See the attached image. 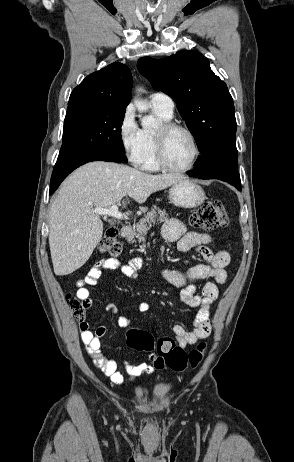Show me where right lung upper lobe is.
Returning <instances> with one entry per match:
<instances>
[{
	"label": "right lung upper lobe",
	"mask_w": 294,
	"mask_h": 462,
	"mask_svg": "<svg viewBox=\"0 0 294 462\" xmlns=\"http://www.w3.org/2000/svg\"><path fill=\"white\" fill-rule=\"evenodd\" d=\"M133 84L130 69L119 62L88 75L72 91L68 107L74 105H110L125 107L131 100Z\"/></svg>",
	"instance_id": "cb5924a9"
}]
</instances>
